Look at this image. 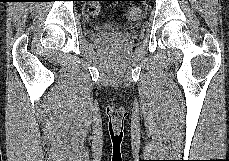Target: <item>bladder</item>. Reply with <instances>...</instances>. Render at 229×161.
<instances>
[{
	"label": "bladder",
	"instance_id": "31cf9c89",
	"mask_svg": "<svg viewBox=\"0 0 229 161\" xmlns=\"http://www.w3.org/2000/svg\"><path fill=\"white\" fill-rule=\"evenodd\" d=\"M120 29V26L115 25V24H109V25H105V26H96L95 30L100 32L103 30H118ZM128 29H131V27H129Z\"/></svg>",
	"mask_w": 229,
	"mask_h": 161
}]
</instances>
